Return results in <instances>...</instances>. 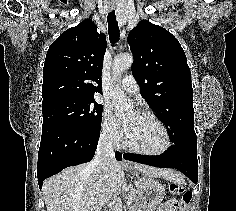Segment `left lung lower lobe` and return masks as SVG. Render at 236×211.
I'll use <instances>...</instances> for the list:
<instances>
[{
	"label": "left lung lower lobe",
	"instance_id": "obj_1",
	"mask_svg": "<svg viewBox=\"0 0 236 211\" xmlns=\"http://www.w3.org/2000/svg\"><path fill=\"white\" fill-rule=\"evenodd\" d=\"M127 160L160 168H176L194 183L198 182L197 146L173 145L168 151L158 156L124 154Z\"/></svg>",
	"mask_w": 236,
	"mask_h": 211
}]
</instances>
